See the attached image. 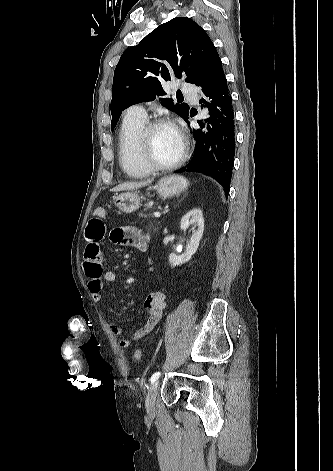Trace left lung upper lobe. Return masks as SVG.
<instances>
[{
	"instance_id": "1",
	"label": "left lung upper lobe",
	"mask_w": 333,
	"mask_h": 471,
	"mask_svg": "<svg viewBox=\"0 0 333 471\" xmlns=\"http://www.w3.org/2000/svg\"><path fill=\"white\" fill-rule=\"evenodd\" d=\"M215 52L205 30L189 18L177 17L158 26L138 45L127 49L115 68L111 129L124 109L165 95L162 84L172 77H185L186 82L196 85ZM160 100L183 119L188 116L187 104Z\"/></svg>"
}]
</instances>
